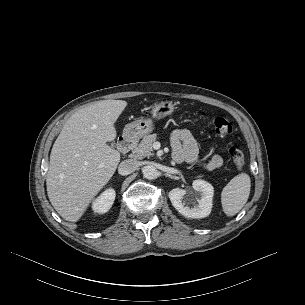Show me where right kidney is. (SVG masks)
<instances>
[{"instance_id": "obj_1", "label": "right kidney", "mask_w": 305, "mask_h": 305, "mask_svg": "<svg viewBox=\"0 0 305 305\" xmlns=\"http://www.w3.org/2000/svg\"><path fill=\"white\" fill-rule=\"evenodd\" d=\"M115 190L110 188L105 190L92 204V209L97 213H106L113 205L115 200Z\"/></svg>"}]
</instances>
